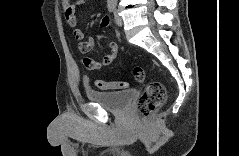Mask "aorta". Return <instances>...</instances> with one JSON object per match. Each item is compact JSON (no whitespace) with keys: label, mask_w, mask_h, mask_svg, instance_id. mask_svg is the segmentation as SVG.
<instances>
[{"label":"aorta","mask_w":239,"mask_h":156,"mask_svg":"<svg viewBox=\"0 0 239 156\" xmlns=\"http://www.w3.org/2000/svg\"><path fill=\"white\" fill-rule=\"evenodd\" d=\"M109 2L115 4L117 0H109Z\"/></svg>","instance_id":"obj_1"}]
</instances>
